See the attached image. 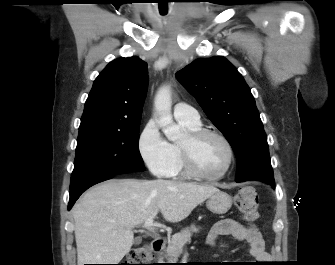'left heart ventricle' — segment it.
I'll use <instances>...</instances> for the list:
<instances>
[{
    "label": "left heart ventricle",
    "mask_w": 335,
    "mask_h": 265,
    "mask_svg": "<svg viewBox=\"0 0 335 265\" xmlns=\"http://www.w3.org/2000/svg\"><path fill=\"white\" fill-rule=\"evenodd\" d=\"M186 137L181 141L184 142ZM194 162L197 168L207 175H216L225 167L228 152L221 140L216 137H206L193 148Z\"/></svg>",
    "instance_id": "left-heart-ventricle-1"
}]
</instances>
